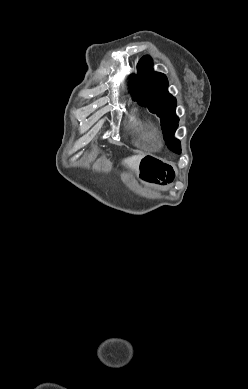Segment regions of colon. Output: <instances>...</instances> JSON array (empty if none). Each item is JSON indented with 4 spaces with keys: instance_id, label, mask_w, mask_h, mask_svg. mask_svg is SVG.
<instances>
[{
    "instance_id": "5ec220e1",
    "label": "colon",
    "mask_w": 248,
    "mask_h": 389,
    "mask_svg": "<svg viewBox=\"0 0 248 389\" xmlns=\"http://www.w3.org/2000/svg\"><path fill=\"white\" fill-rule=\"evenodd\" d=\"M140 162L147 181L164 185L172 180L173 172L168 161H160L159 157H141Z\"/></svg>"
}]
</instances>
